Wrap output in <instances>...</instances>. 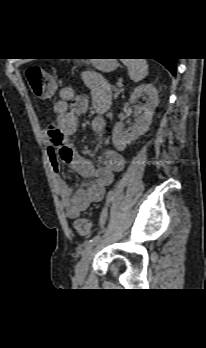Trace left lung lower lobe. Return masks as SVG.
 I'll use <instances>...</instances> for the list:
<instances>
[{"instance_id":"obj_1","label":"left lung lower lobe","mask_w":206,"mask_h":348,"mask_svg":"<svg viewBox=\"0 0 206 348\" xmlns=\"http://www.w3.org/2000/svg\"><path fill=\"white\" fill-rule=\"evenodd\" d=\"M176 60L177 58L157 59V61L164 65L172 75H175Z\"/></svg>"}]
</instances>
